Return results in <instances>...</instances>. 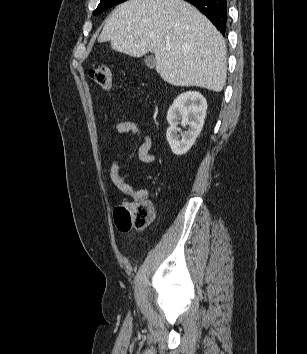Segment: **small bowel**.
I'll return each mask as SVG.
<instances>
[{
	"label": "small bowel",
	"instance_id": "c3829d8e",
	"mask_svg": "<svg viewBox=\"0 0 307 354\" xmlns=\"http://www.w3.org/2000/svg\"><path fill=\"white\" fill-rule=\"evenodd\" d=\"M115 130L120 134L132 133L140 136L142 143L138 149L139 160L144 163H152L155 161L156 155L151 152L152 138L143 126L133 121H121L115 124ZM119 159L120 154H115L110 165L109 174L113 184L134 201L145 200L148 195L147 190L133 188L121 176Z\"/></svg>",
	"mask_w": 307,
	"mask_h": 354
}]
</instances>
